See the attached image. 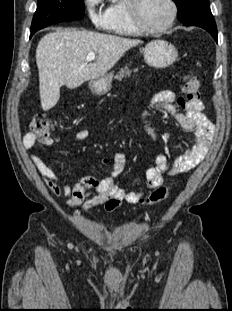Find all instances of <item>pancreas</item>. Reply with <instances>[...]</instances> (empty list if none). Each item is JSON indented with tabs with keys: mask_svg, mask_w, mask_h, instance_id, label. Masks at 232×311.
I'll return each mask as SVG.
<instances>
[{
	"mask_svg": "<svg viewBox=\"0 0 232 311\" xmlns=\"http://www.w3.org/2000/svg\"><path fill=\"white\" fill-rule=\"evenodd\" d=\"M136 72L137 70H133ZM131 75V70L125 66L124 68L120 69V71L115 75V79L117 80H122L124 76H130Z\"/></svg>",
	"mask_w": 232,
	"mask_h": 311,
	"instance_id": "cf45deb5",
	"label": "pancreas"
}]
</instances>
